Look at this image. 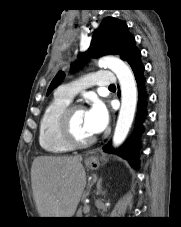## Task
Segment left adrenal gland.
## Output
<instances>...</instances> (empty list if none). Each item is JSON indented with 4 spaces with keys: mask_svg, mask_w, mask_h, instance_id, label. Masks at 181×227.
Segmentation results:
<instances>
[{
    "mask_svg": "<svg viewBox=\"0 0 181 227\" xmlns=\"http://www.w3.org/2000/svg\"><path fill=\"white\" fill-rule=\"evenodd\" d=\"M101 182H102V179L100 178L97 182V194H100L101 192Z\"/></svg>",
    "mask_w": 181,
    "mask_h": 227,
    "instance_id": "left-adrenal-gland-1",
    "label": "left adrenal gland"
}]
</instances>
